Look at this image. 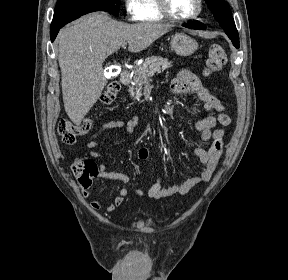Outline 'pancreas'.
<instances>
[{"instance_id":"cf45deb5","label":"pancreas","mask_w":288,"mask_h":280,"mask_svg":"<svg viewBox=\"0 0 288 280\" xmlns=\"http://www.w3.org/2000/svg\"><path fill=\"white\" fill-rule=\"evenodd\" d=\"M172 66V62L163 57H148L145 62L137 67L134 71L133 83L135 85L129 88L130 96L135 100L140 99L142 96V88L145 84L151 81L152 76L156 72L164 71Z\"/></svg>"}]
</instances>
